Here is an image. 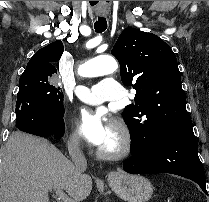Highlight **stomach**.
<instances>
[{"label": "stomach", "mask_w": 209, "mask_h": 202, "mask_svg": "<svg viewBox=\"0 0 209 202\" xmlns=\"http://www.w3.org/2000/svg\"><path fill=\"white\" fill-rule=\"evenodd\" d=\"M109 184L126 202H147L153 193L151 182L140 175L116 173L109 178Z\"/></svg>", "instance_id": "1"}]
</instances>
